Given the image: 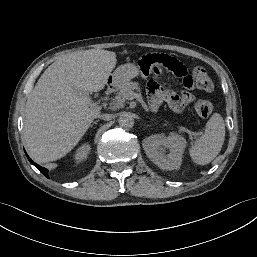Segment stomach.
Returning a JSON list of instances; mask_svg holds the SVG:
<instances>
[{
  "label": "stomach",
  "instance_id": "obj_1",
  "mask_svg": "<svg viewBox=\"0 0 257 257\" xmlns=\"http://www.w3.org/2000/svg\"><path fill=\"white\" fill-rule=\"evenodd\" d=\"M137 74L133 68V64H124L120 65L112 74L111 79L114 84L121 87L128 83L134 77H137Z\"/></svg>",
  "mask_w": 257,
  "mask_h": 257
}]
</instances>
